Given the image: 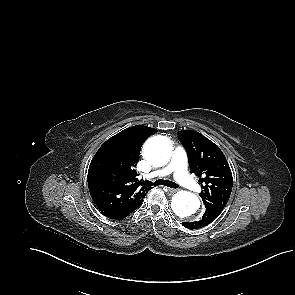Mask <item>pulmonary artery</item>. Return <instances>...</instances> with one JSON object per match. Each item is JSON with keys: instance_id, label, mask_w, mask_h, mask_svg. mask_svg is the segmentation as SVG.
<instances>
[{"instance_id": "pulmonary-artery-1", "label": "pulmonary artery", "mask_w": 295, "mask_h": 295, "mask_svg": "<svg viewBox=\"0 0 295 295\" xmlns=\"http://www.w3.org/2000/svg\"><path fill=\"white\" fill-rule=\"evenodd\" d=\"M171 173H173L176 181L184 188L194 192H199L201 190L199 184L195 182L187 172V155L181 147L175 149L168 166L155 171L152 175L164 177Z\"/></svg>"}]
</instances>
